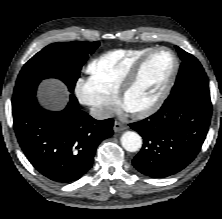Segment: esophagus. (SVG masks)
Listing matches in <instances>:
<instances>
[{
	"mask_svg": "<svg viewBox=\"0 0 222 219\" xmlns=\"http://www.w3.org/2000/svg\"><path fill=\"white\" fill-rule=\"evenodd\" d=\"M125 129H126V126L123 123H121L119 121L114 122L113 130L115 132H120V131H123Z\"/></svg>",
	"mask_w": 222,
	"mask_h": 219,
	"instance_id": "1",
	"label": "esophagus"
}]
</instances>
